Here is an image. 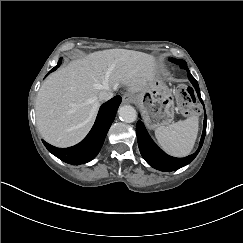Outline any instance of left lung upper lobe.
<instances>
[{
    "label": "left lung upper lobe",
    "mask_w": 243,
    "mask_h": 243,
    "mask_svg": "<svg viewBox=\"0 0 243 243\" xmlns=\"http://www.w3.org/2000/svg\"><path fill=\"white\" fill-rule=\"evenodd\" d=\"M170 61L173 62V63L179 64V65L186 63L184 60H177V59H174V58H171Z\"/></svg>",
    "instance_id": "obj_1"
}]
</instances>
